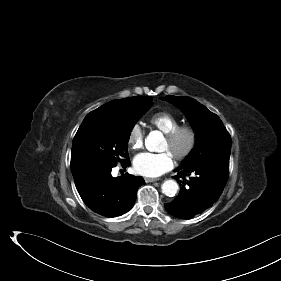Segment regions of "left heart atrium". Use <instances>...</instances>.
Wrapping results in <instances>:
<instances>
[{"label": "left heart atrium", "mask_w": 281, "mask_h": 281, "mask_svg": "<svg viewBox=\"0 0 281 281\" xmlns=\"http://www.w3.org/2000/svg\"><path fill=\"white\" fill-rule=\"evenodd\" d=\"M173 156L169 151L162 153L143 152L135 156L134 170L146 177H159L173 168Z\"/></svg>", "instance_id": "left-heart-atrium-1"}]
</instances>
